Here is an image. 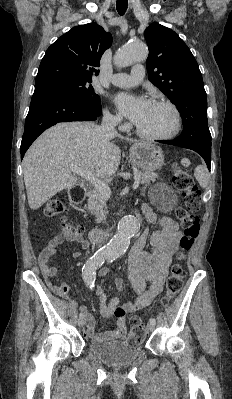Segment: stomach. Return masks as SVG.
<instances>
[{
	"instance_id": "stomach-1",
	"label": "stomach",
	"mask_w": 232,
	"mask_h": 399,
	"mask_svg": "<svg viewBox=\"0 0 232 399\" xmlns=\"http://www.w3.org/2000/svg\"><path fill=\"white\" fill-rule=\"evenodd\" d=\"M129 162L139 170L152 172L164 166V154L159 146L138 142V144H133L130 150Z\"/></svg>"
}]
</instances>
